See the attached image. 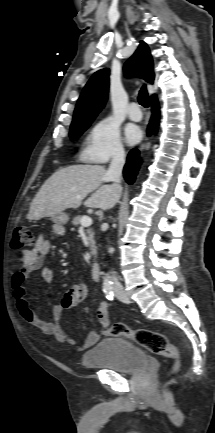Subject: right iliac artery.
<instances>
[{
  "instance_id": "right-iliac-artery-1",
  "label": "right iliac artery",
  "mask_w": 215,
  "mask_h": 433,
  "mask_svg": "<svg viewBox=\"0 0 215 433\" xmlns=\"http://www.w3.org/2000/svg\"><path fill=\"white\" fill-rule=\"evenodd\" d=\"M103 291H104L106 298L108 300H113L114 292H113V287L111 285H105L103 287Z\"/></svg>"
}]
</instances>
